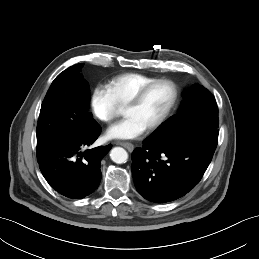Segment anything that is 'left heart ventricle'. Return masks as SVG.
Listing matches in <instances>:
<instances>
[{
  "label": "left heart ventricle",
  "instance_id": "1",
  "mask_svg": "<svg viewBox=\"0 0 259 259\" xmlns=\"http://www.w3.org/2000/svg\"><path fill=\"white\" fill-rule=\"evenodd\" d=\"M172 98V89L167 84H157L134 106L124 108L125 116L134 117L145 128L153 124L164 113Z\"/></svg>",
  "mask_w": 259,
  "mask_h": 259
}]
</instances>
